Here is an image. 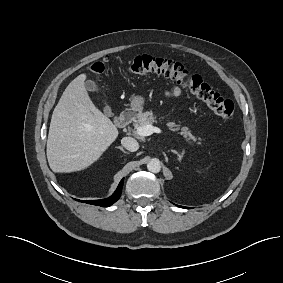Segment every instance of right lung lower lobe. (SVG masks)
I'll list each match as a JSON object with an SVG mask.
<instances>
[{
	"label": "right lung lower lobe",
	"instance_id": "1",
	"mask_svg": "<svg viewBox=\"0 0 283 283\" xmlns=\"http://www.w3.org/2000/svg\"><path fill=\"white\" fill-rule=\"evenodd\" d=\"M123 181L124 179L121 180L116 191L109 198L101 199V200H85V201L77 200V201L85 202V203L92 204V205H98L102 207H108L112 205L113 203H115L120 198L121 193H122Z\"/></svg>",
	"mask_w": 283,
	"mask_h": 283
}]
</instances>
